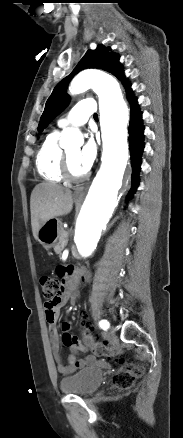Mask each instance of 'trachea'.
<instances>
[{
	"instance_id": "obj_1",
	"label": "trachea",
	"mask_w": 183,
	"mask_h": 438,
	"mask_svg": "<svg viewBox=\"0 0 183 438\" xmlns=\"http://www.w3.org/2000/svg\"><path fill=\"white\" fill-rule=\"evenodd\" d=\"M94 118H98V115H97V113H95V114H94Z\"/></svg>"
}]
</instances>
